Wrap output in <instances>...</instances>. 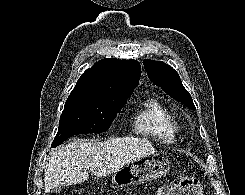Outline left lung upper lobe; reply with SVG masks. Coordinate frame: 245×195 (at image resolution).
Wrapping results in <instances>:
<instances>
[{
	"label": "left lung upper lobe",
	"mask_w": 245,
	"mask_h": 195,
	"mask_svg": "<svg viewBox=\"0 0 245 195\" xmlns=\"http://www.w3.org/2000/svg\"><path fill=\"white\" fill-rule=\"evenodd\" d=\"M144 68L149 79L160 86L173 99L182 102L191 109H195L193 100L188 91L183 87L178 73L162 61L144 60Z\"/></svg>",
	"instance_id": "5c2ea615"
}]
</instances>
